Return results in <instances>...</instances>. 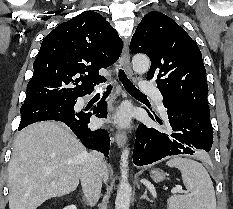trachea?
Masks as SVG:
<instances>
[{
    "label": "trachea",
    "instance_id": "trachea-1",
    "mask_svg": "<svg viewBox=\"0 0 233 209\" xmlns=\"http://www.w3.org/2000/svg\"><path fill=\"white\" fill-rule=\"evenodd\" d=\"M119 80L122 82L124 88L127 90L128 93L134 95L145 96L142 92H140L135 85L127 78L124 70L119 69L118 73Z\"/></svg>",
    "mask_w": 233,
    "mask_h": 209
}]
</instances>
